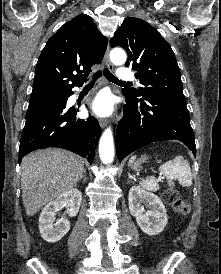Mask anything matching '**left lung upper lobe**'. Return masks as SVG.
<instances>
[{
	"label": "left lung upper lobe",
	"mask_w": 221,
	"mask_h": 274,
	"mask_svg": "<svg viewBox=\"0 0 221 274\" xmlns=\"http://www.w3.org/2000/svg\"><path fill=\"white\" fill-rule=\"evenodd\" d=\"M127 54V67L136 70L139 89H124L126 97L137 100H185L180 69L175 55L161 34L148 22L133 17L124 19L110 40Z\"/></svg>",
	"instance_id": "left-lung-upper-lobe-1"
}]
</instances>
